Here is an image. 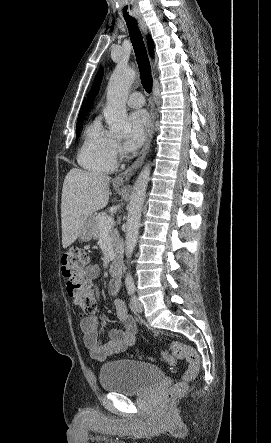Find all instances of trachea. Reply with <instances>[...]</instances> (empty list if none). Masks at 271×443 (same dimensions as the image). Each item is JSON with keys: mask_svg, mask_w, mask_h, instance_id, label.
Wrapping results in <instances>:
<instances>
[{"mask_svg": "<svg viewBox=\"0 0 271 443\" xmlns=\"http://www.w3.org/2000/svg\"><path fill=\"white\" fill-rule=\"evenodd\" d=\"M132 0H121L120 8H121V16H125L126 24L129 30L131 42L134 47L136 60L138 63L139 71H140V79L141 83L146 90V92L150 93L152 90V75H151V67L150 62L147 56L145 44L143 42V38L139 28L137 26V22L135 18L129 17V5H131Z\"/></svg>", "mask_w": 271, "mask_h": 443, "instance_id": "1", "label": "trachea"}]
</instances>
